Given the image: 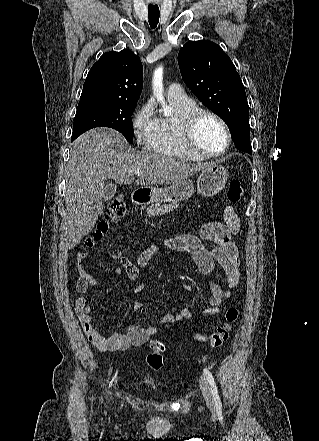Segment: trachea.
<instances>
[{"label": "trachea", "mask_w": 319, "mask_h": 441, "mask_svg": "<svg viewBox=\"0 0 319 441\" xmlns=\"http://www.w3.org/2000/svg\"><path fill=\"white\" fill-rule=\"evenodd\" d=\"M148 12H149L148 18H149L150 27L154 29L159 23V16H160L159 7L149 6Z\"/></svg>", "instance_id": "trachea-1"}]
</instances>
